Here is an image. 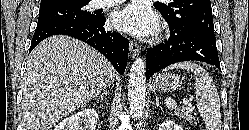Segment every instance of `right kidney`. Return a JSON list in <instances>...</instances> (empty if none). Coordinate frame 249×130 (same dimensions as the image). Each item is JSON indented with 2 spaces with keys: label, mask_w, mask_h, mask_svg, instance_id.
<instances>
[{
  "label": "right kidney",
  "mask_w": 249,
  "mask_h": 130,
  "mask_svg": "<svg viewBox=\"0 0 249 130\" xmlns=\"http://www.w3.org/2000/svg\"><path fill=\"white\" fill-rule=\"evenodd\" d=\"M97 120V111L94 108H85L62 120L54 130H81L82 125L86 130H95Z\"/></svg>",
  "instance_id": "1"
}]
</instances>
